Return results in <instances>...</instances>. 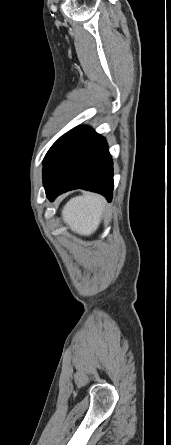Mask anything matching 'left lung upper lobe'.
Returning a JSON list of instances; mask_svg holds the SVG:
<instances>
[{
  "label": "left lung upper lobe",
  "instance_id": "5c2ea615",
  "mask_svg": "<svg viewBox=\"0 0 171 445\" xmlns=\"http://www.w3.org/2000/svg\"><path fill=\"white\" fill-rule=\"evenodd\" d=\"M60 139H61V138H59V139L53 144V146L49 149V151L47 152V154H46L44 160L48 157V155L50 154V152L53 150V148L55 147V145L58 143V141H59Z\"/></svg>",
  "mask_w": 171,
  "mask_h": 445
}]
</instances>
